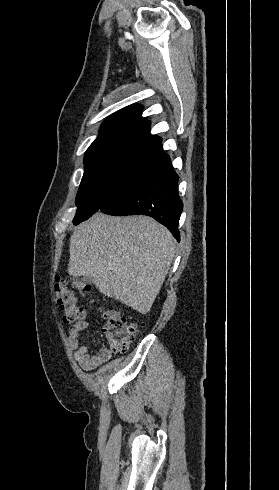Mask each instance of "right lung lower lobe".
I'll use <instances>...</instances> for the list:
<instances>
[{
  "mask_svg": "<svg viewBox=\"0 0 279 490\" xmlns=\"http://www.w3.org/2000/svg\"><path fill=\"white\" fill-rule=\"evenodd\" d=\"M157 165L159 168L146 179L109 195L99 211L116 216H151L179 241L178 223L183 203L178 194V175L169 156Z\"/></svg>",
  "mask_w": 279,
  "mask_h": 490,
  "instance_id": "obj_1",
  "label": "right lung lower lobe"
}]
</instances>
